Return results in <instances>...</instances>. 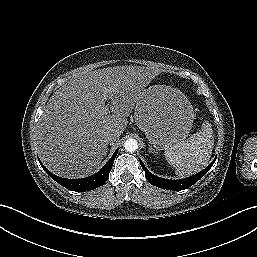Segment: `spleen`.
<instances>
[{"label":"spleen","mask_w":257,"mask_h":257,"mask_svg":"<svg viewBox=\"0 0 257 257\" xmlns=\"http://www.w3.org/2000/svg\"><path fill=\"white\" fill-rule=\"evenodd\" d=\"M214 134L211 124L206 121L201 130L187 140L180 141L165 150L167 162L178 176H190L206 167L212 155Z\"/></svg>","instance_id":"obj_1"}]
</instances>
